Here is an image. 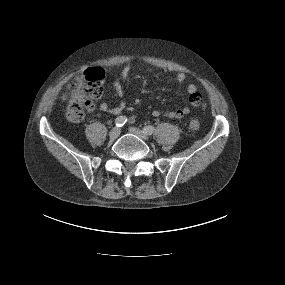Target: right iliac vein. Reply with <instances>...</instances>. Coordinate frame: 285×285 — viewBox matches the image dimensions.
<instances>
[{
    "label": "right iliac vein",
    "instance_id": "63e3f726",
    "mask_svg": "<svg viewBox=\"0 0 285 285\" xmlns=\"http://www.w3.org/2000/svg\"><path fill=\"white\" fill-rule=\"evenodd\" d=\"M120 135V128L119 127H114L110 133H109V137L111 140H115L119 137Z\"/></svg>",
    "mask_w": 285,
    "mask_h": 285
}]
</instances>
